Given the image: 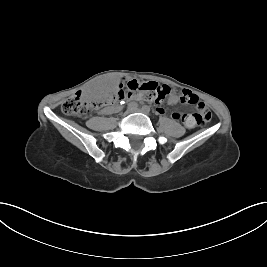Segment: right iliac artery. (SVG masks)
I'll list each match as a JSON object with an SVG mask.
<instances>
[{"label": "right iliac artery", "instance_id": "obj_1", "mask_svg": "<svg viewBox=\"0 0 267 267\" xmlns=\"http://www.w3.org/2000/svg\"><path fill=\"white\" fill-rule=\"evenodd\" d=\"M138 107L137 103L135 102H131L129 105H128V109L130 110H133V109H136Z\"/></svg>", "mask_w": 267, "mask_h": 267}]
</instances>
